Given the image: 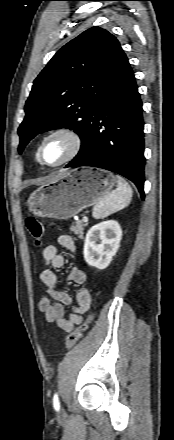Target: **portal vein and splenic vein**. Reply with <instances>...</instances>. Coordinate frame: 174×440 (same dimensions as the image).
<instances>
[{
    "label": "portal vein and splenic vein",
    "instance_id": "1",
    "mask_svg": "<svg viewBox=\"0 0 174 440\" xmlns=\"http://www.w3.org/2000/svg\"><path fill=\"white\" fill-rule=\"evenodd\" d=\"M82 221H83V222H88V217H87V216H84V217L82 218Z\"/></svg>",
    "mask_w": 174,
    "mask_h": 440
}]
</instances>
